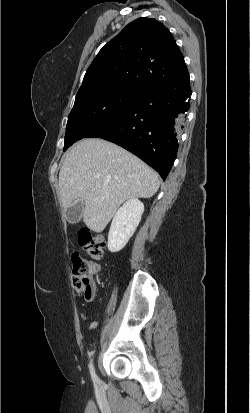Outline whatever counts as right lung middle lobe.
Wrapping results in <instances>:
<instances>
[{
    "mask_svg": "<svg viewBox=\"0 0 250 413\" xmlns=\"http://www.w3.org/2000/svg\"><path fill=\"white\" fill-rule=\"evenodd\" d=\"M141 91L124 85L79 90L66 126L64 151L119 114Z\"/></svg>",
    "mask_w": 250,
    "mask_h": 413,
    "instance_id": "obj_1",
    "label": "right lung middle lobe"
}]
</instances>
